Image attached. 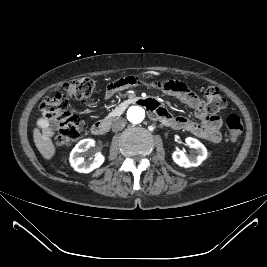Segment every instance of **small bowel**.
Returning a JSON list of instances; mask_svg holds the SVG:
<instances>
[{
  "instance_id": "small-bowel-1",
  "label": "small bowel",
  "mask_w": 267,
  "mask_h": 267,
  "mask_svg": "<svg viewBox=\"0 0 267 267\" xmlns=\"http://www.w3.org/2000/svg\"><path fill=\"white\" fill-rule=\"evenodd\" d=\"M139 83H141V79L135 76L117 79L109 84L106 97L109 98L115 93ZM156 85L165 93L176 96L181 102L192 108L195 117L198 119V122H194L183 116H173L165 108L153 101L155 104L154 112L165 125L174 129L188 131L211 143H219L221 141V119L209 114L204 101L196 92L183 82L176 80L158 81Z\"/></svg>"
}]
</instances>
